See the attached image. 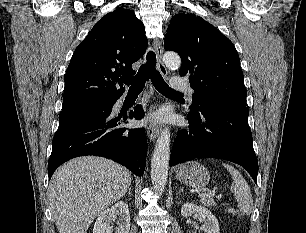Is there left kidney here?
<instances>
[{"instance_id": "1", "label": "left kidney", "mask_w": 306, "mask_h": 233, "mask_svg": "<svg viewBox=\"0 0 306 233\" xmlns=\"http://www.w3.org/2000/svg\"><path fill=\"white\" fill-rule=\"evenodd\" d=\"M195 213L199 215V221L203 223L202 228L205 233H220L218 220L210 210L202 206H197L193 203H185L181 207V215L183 217L187 218Z\"/></svg>"}]
</instances>
